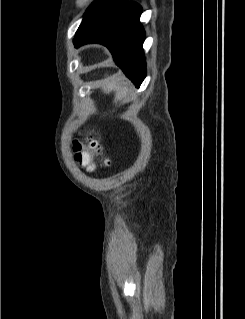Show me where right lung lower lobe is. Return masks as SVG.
<instances>
[{
    "label": "right lung lower lobe",
    "instance_id": "1",
    "mask_svg": "<svg viewBox=\"0 0 245 319\" xmlns=\"http://www.w3.org/2000/svg\"><path fill=\"white\" fill-rule=\"evenodd\" d=\"M142 8L129 2L109 17L82 31H77L74 42L100 43L108 47L116 64L125 75L139 87L146 76V62L143 53L145 31L139 17Z\"/></svg>",
    "mask_w": 245,
    "mask_h": 319
}]
</instances>
